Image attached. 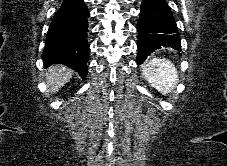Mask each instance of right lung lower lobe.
Wrapping results in <instances>:
<instances>
[{"label":"right lung lower lobe","instance_id":"98d812e1","mask_svg":"<svg viewBox=\"0 0 227 166\" xmlns=\"http://www.w3.org/2000/svg\"><path fill=\"white\" fill-rule=\"evenodd\" d=\"M89 11L83 0H64L56 12L47 34L43 51L45 67L64 64L84 79L89 60L87 18Z\"/></svg>","mask_w":227,"mask_h":166}]
</instances>
